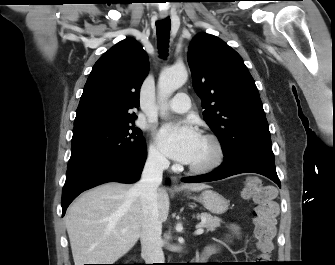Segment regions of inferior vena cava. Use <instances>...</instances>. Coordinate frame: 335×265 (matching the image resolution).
<instances>
[{
    "label": "inferior vena cava",
    "mask_w": 335,
    "mask_h": 265,
    "mask_svg": "<svg viewBox=\"0 0 335 265\" xmlns=\"http://www.w3.org/2000/svg\"><path fill=\"white\" fill-rule=\"evenodd\" d=\"M169 161L159 153L149 154L141 179L133 186L141 199L142 229L140 241L142 257L148 264L164 263L162 250V222L159 219L157 189L162 182L163 170Z\"/></svg>",
    "instance_id": "602c4592"
}]
</instances>
